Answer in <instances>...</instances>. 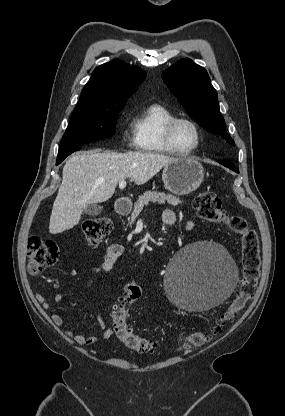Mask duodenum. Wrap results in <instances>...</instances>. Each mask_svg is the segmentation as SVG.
<instances>
[{"instance_id":"duodenum-1","label":"duodenum","mask_w":285,"mask_h":416,"mask_svg":"<svg viewBox=\"0 0 285 416\" xmlns=\"http://www.w3.org/2000/svg\"><path fill=\"white\" fill-rule=\"evenodd\" d=\"M131 205H132L131 197H117L116 205H115L117 214L119 215L128 214L131 210ZM167 224H170V221Z\"/></svg>"}]
</instances>
